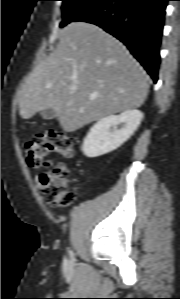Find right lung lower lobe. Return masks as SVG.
Wrapping results in <instances>:
<instances>
[{
    "label": "right lung lower lobe",
    "mask_w": 180,
    "mask_h": 299,
    "mask_svg": "<svg viewBox=\"0 0 180 299\" xmlns=\"http://www.w3.org/2000/svg\"><path fill=\"white\" fill-rule=\"evenodd\" d=\"M167 1L102 0L75 21L95 24L122 41L156 83Z\"/></svg>",
    "instance_id": "1"
}]
</instances>
